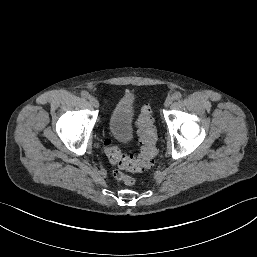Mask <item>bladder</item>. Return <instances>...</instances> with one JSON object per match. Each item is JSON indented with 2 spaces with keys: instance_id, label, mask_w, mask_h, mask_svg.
<instances>
[{
  "instance_id": "31cf9c89",
  "label": "bladder",
  "mask_w": 257,
  "mask_h": 257,
  "mask_svg": "<svg viewBox=\"0 0 257 257\" xmlns=\"http://www.w3.org/2000/svg\"><path fill=\"white\" fill-rule=\"evenodd\" d=\"M136 109V97L132 93L123 94L112 109L108 128L114 138L125 141L132 134V123Z\"/></svg>"
}]
</instances>
